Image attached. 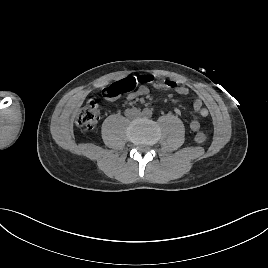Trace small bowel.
I'll return each mask as SVG.
<instances>
[{
  "label": "small bowel",
  "instance_id": "obj_1",
  "mask_svg": "<svg viewBox=\"0 0 268 268\" xmlns=\"http://www.w3.org/2000/svg\"><path fill=\"white\" fill-rule=\"evenodd\" d=\"M171 90L175 91L176 93L180 95H187L189 93V88H187L186 86H182V85H176L175 83ZM148 93H149V88L145 85H140L138 88L130 92L127 95L126 99L127 101H133L139 97L147 95ZM193 109L200 116V118H206L209 114L208 109L203 105V102L201 99L194 100ZM176 113L180 114V111L176 109ZM200 126H201V122L198 119L192 120L189 123V129L193 132L199 130Z\"/></svg>",
  "mask_w": 268,
  "mask_h": 268
}]
</instances>
